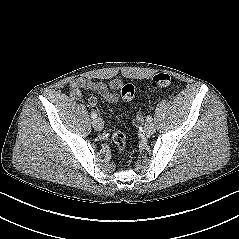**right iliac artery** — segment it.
Returning <instances> with one entry per match:
<instances>
[{"instance_id": "obj_1", "label": "right iliac artery", "mask_w": 239, "mask_h": 239, "mask_svg": "<svg viewBox=\"0 0 239 239\" xmlns=\"http://www.w3.org/2000/svg\"><path fill=\"white\" fill-rule=\"evenodd\" d=\"M91 118L95 120L97 118V114L95 112H91Z\"/></svg>"}]
</instances>
